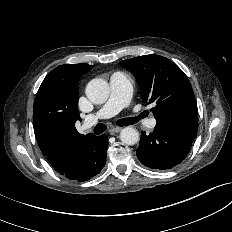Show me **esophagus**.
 <instances>
[{
	"label": "esophagus",
	"instance_id": "1",
	"mask_svg": "<svg viewBox=\"0 0 232 232\" xmlns=\"http://www.w3.org/2000/svg\"><path fill=\"white\" fill-rule=\"evenodd\" d=\"M122 130V127H112V128H110L109 129V132H110V134H115V133H118V132H120Z\"/></svg>",
	"mask_w": 232,
	"mask_h": 232
}]
</instances>
